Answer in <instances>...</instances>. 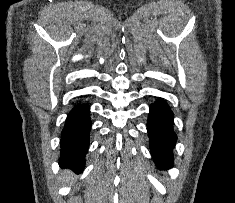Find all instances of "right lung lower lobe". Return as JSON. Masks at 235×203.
<instances>
[{
  "mask_svg": "<svg viewBox=\"0 0 235 203\" xmlns=\"http://www.w3.org/2000/svg\"><path fill=\"white\" fill-rule=\"evenodd\" d=\"M90 128L89 105H75L68 114L61 134L60 166L70 168L78 174L83 171L89 147Z\"/></svg>",
  "mask_w": 235,
  "mask_h": 203,
  "instance_id": "right-lung-lower-lobe-1",
  "label": "right lung lower lobe"
}]
</instances>
